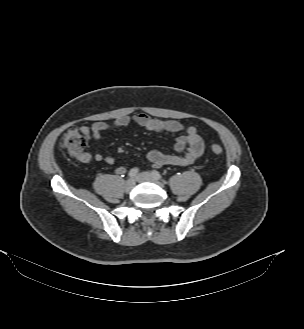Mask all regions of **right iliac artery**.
<instances>
[{
    "mask_svg": "<svg viewBox=\"0 0 304 329\" xmlns=\"http://www.w3.org/2000/svg\"><path fill=\"white\" fill-rule=\"evenodd\" d=\"M138 172H139V169H138V168H132V169L129 171L128 176H129L130 178H133V177H135V176L138 174Z\"/></svg>",
    "mask_w": 304,
    "mask_h": 329,
    "instance_id": "obj_1",
    "label": "right iliac artery"
}]
</instances>
